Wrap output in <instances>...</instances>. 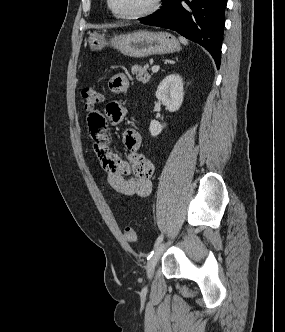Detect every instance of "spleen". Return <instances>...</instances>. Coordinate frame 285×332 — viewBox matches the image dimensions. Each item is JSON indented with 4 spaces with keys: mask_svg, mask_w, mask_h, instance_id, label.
<instances>
[{
    "mask_svg": "<svg viewBox=\"0 0 285 332\" xmlns=\"http://www.w3.org/2000/svg\"><path fill=\"white\" fill-rule=\"evenodd\" d=\"M179 41H180L182 44H184V45H187V44H188V41H187L185 38H183V37H179Z\"/></svg>",
    "mask_w": 285,
    "mask_h": 332,
    "instance_id": "3e777b00",
    "label": "spleen"
}]
</instances>
